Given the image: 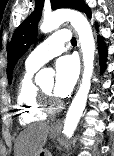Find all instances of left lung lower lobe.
<instances>
[{"instance_id": "left-lung-lower-lobe-1", "label": "left lung lower lobe", "mask_w": 114, "mask_h": 156, "mask_svg": "<svg viewBox=\"0 0 114 156\" xmlns=\"http://www.w3.org/2000/svg\"><path fill=\"white\" fill-rule=\"evenodd\" d=\"M86 14L88 15V17H91V11L90 9L87 10ZM98 40H99V52H100V66L103 69H105V57H106V54H107V50L105 48V45H104V41L103 39L99 36L98 37Z\"/></svg>"}]
</instances>
